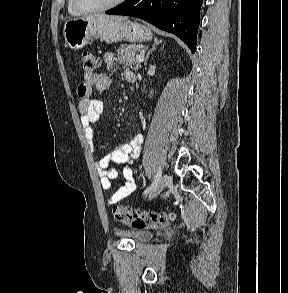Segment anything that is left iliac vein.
I'll return each instance as SVG.
<instances>
[{
  "mask_svg": "<svg viewBox=\"0 0 288 293\" xmlns=\"http://www.w3.org/2000/svg\"><path fill=\"white\" fill-rule=\"evenodd\" d=\"M169 182H170V177L167 174H164L159 180V182L157 183V185L155 186V188L150 192L149 199H152L156 197L158 194H160L165 189V187L169 184Z\"/></svg>",
  "mask_w": 288,
  "mask_h": 293,
  "instance_id": "4c4485c4",
  "label": "left iliac vein"
}]
</instances>
